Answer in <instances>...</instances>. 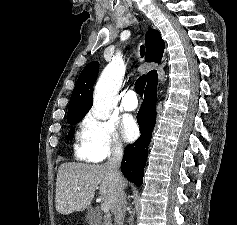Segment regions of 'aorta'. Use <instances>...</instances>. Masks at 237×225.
Listing matches in <instances>:
<instances>
[{"instance_id":"obj_1","label":"aorta","mask_w":237,"mask_h":225,"mask_svg":"<svg viewBox=\"0 0 237 225\" xmlns=\"http://www.w3.org/2000/svg\"><path fill=\"white\" fill-rule=\"evenodd\" d=\"M125 73V66L120 58H114L100 75L94 90L92 112L98 119H107L116 103L117 95Z\"/></svg>"}]
</instances>
